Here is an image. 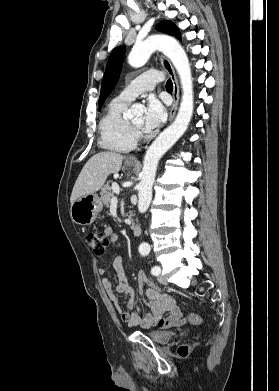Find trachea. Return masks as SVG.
Listing matches in <instances>:
<instances>
[{
	"instance_id": "obj_1",
	"label": "trachea",
	"mask_w": 279,
	"mask_h": 391,
	"mask_svg": "<svg viewBox=\"0 0 279 391\" xmlns=\"http://www.w3.org/2000/svg\"><path fill=\"white\" fill-rule=\"evenodd\" d=\"M166 89L167 90H172L173 89V83H172L171 79H168V81L166 83Z\"/></svg>"
}]
</instances>
